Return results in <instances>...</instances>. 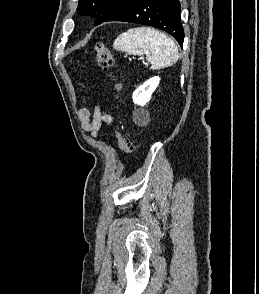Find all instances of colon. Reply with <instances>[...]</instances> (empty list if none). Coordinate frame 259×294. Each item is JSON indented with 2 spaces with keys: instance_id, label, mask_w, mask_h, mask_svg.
<instances>
[{
  "instance_id": "1",
  "label": "colon",
  "mask_w": 259,
  "mask_h": 294,
  "mask_svg": "<svg viewBox=\"0 0 259 294\" xmlns=\"http://www.w3.org/2000/svg\"><path fill=\"white\" fill-rule=\"evenodd\" d=\"M94 57L98 66H100L104 71L109 72L113 66V56L110 49L103 43L97 42L93 47ZM115 80V90L118 94L122 91V84L117 80L116 76L111 75ZM118 146L124 154H129L133 151L134 147L128 138V135L124 133L121 129L116 127L114 129Z\"/></svg>"
}]
</instances>
